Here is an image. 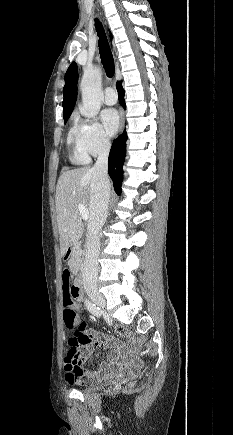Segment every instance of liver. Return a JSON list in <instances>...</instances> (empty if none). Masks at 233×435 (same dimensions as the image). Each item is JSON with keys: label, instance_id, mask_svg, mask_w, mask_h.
<instances>
[{"label": "liver", "instance_id": "6515ba94", "mask_svg": "<svg viewBox=\"0 0 233 435\" xmlns=\"http://www.w3.org/2000/svg\"><path fill=\"white\" fill-rule=\"evenodd\" d=\"M92 177V169L82 167L67 170L58 179L55 203L61 256L65 254L69 245L78 241L83 234L78 205L83 204L90 213Z\"/></svg>", "mask_w": 233, "mask_h": 435}]
</instances>
